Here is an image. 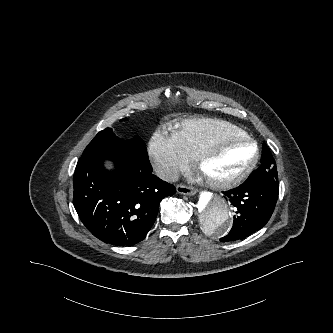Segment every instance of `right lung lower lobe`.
<instances>
[{"instance_id": "obj_1", "label": "right lung lower lobe", "mask_w": 333, "mask_h": 333, "mask_svg": "<svg viewBox=\"0 0 333 333\" xmlns=\"http://www.w3.org/2000/svg\"><path fill=\"white\" fill-rule=\"evenodd\" d=\"M115 164L114 171L104 161ZM175 187L152 174L149 160L123 156L80 158L74 173V207L85 227L115 246L142 241L151 229L160 201Z\"/></svg>"}]
</instances>
